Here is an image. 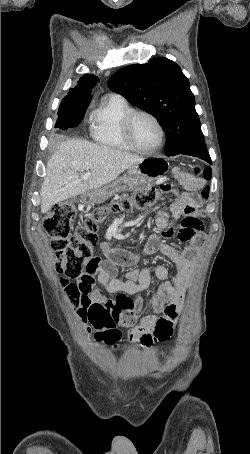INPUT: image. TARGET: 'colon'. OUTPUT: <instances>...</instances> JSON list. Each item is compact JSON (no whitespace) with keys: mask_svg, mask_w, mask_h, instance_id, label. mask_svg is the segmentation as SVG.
Here are the masks:
<instances>
[{"mask_svg":"<svg viewBox=\"0 0 250 454\" xmlns=\"http://www.w3.org/2000/svg\"><path fill=\"white\" fill-rule=\"evenodd\" d=\"M192 173L206 180L211 177L209 168H193ZM169 194H177V189L174 185L167 183L158 188L153 187L131 196H124L107 207L94 210L74 231L73 222L76 214L74 200L67 199L52 206L43 227L50 237L55 269L63 276L60 280L61 286L73 307L80 305L81 293L78 284L71 280L77 278L94 258L99 221L103 214L144 210ZM208 194L209 191L205 188L202 191V197L207 198ZM86 316L96 330L95 338L113 346L121 340L118 326H129V323L120 321L102 304H91Z\"/></svg>","mask_w":250,"mask_h":454,"instance_id":"1","label":"colon"}]
</instances>
